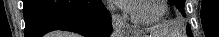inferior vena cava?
I'll list each match as a JSON object with an SVG mask.
<instances>
[{
  "mask_svg": "<svg viewBox=\"0 0 219 37\" xmlns=\"http://www.w3.org/2000/svg\"><path fill=\"white\" fill-rule=\"evenodd\" d=\"M109 10H110V11H113V10H114V8H113V7H109Z\"/></svg>",
  "mask_w": 219,
  "mask_h": 37,
  "instance_id": "inferior-vena-cava-1",
  "label": "inferior vena cava"
}]
</instances>
